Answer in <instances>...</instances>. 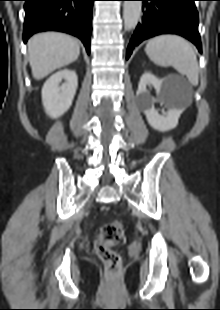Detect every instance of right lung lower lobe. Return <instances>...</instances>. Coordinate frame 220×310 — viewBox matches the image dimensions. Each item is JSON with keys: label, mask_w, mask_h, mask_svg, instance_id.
Here are the masks:
<instances>
[{"label": "right lung lower lobe", "mask_w": 220, "mask_h": 310, "mask_svg": "<svg viewBox=\"0 0 220 310\" xmlns=\"http://www.w3.org/2000/svg\"><path fill=\"white\" fill-rule=\"evenodd\" d=\"M23 40L55 30L78 37L90 54L91 16L95 0H24Z\"/></svg>", "instance_id": "98d812e1"}]
</instances>
